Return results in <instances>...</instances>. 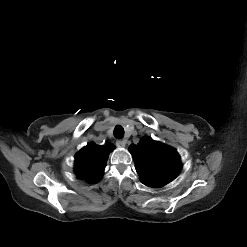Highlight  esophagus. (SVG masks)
I'll return each instance as SVG.
<instances>
[{
    "label": "esophagus",
    "mask_w": 247,
    "mask_h": 247,
    "mask_svg": "<svg viewBox=\"0 0 247 247\" xmlns=\"http://www.w3.org/2000/svg\"><path fill=\"white\" fill-rule=\"evenodd\" d=\"M116 145H117L118 147H125V145H126V140L119 139V140L116 141Z\"/></svg>",
    "instance_id": "obj_1"
}]
</instances>
